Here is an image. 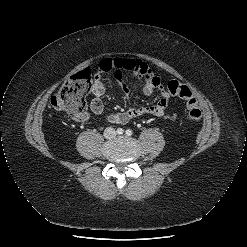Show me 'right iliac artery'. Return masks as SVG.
Returning a JSON list of instances; mask_svg holds the SVG:
<instances>
[{
    "instance_id": "right-iliac-artery-1",
    "label": "right iliac artery",
    "mask_w": 247,
    "mask_h": 247,
    "mask_svg": "<svg viewBox=\"0 0 247 247\" xmlns=\"http://www.w3.org/2000/svg\"><path fill=\"white\" fill-rule=\"evenodd\" d=\"M116 132L117 134L120 135V134H123L124 130L122 128H118Z\"/></svg>"
}]
</instances>
